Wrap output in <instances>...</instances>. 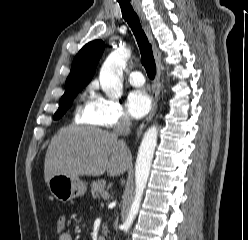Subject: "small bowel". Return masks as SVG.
I'll use <instances>...</instances> for the list:
<instances>
[{
  "label": "small bowel",
  "mask_w": 248,
  "mask_h": 240,
  "mask_svg": "<svg viewBox=\"0 0 248 240\" xmlns=\"http://www.w3.org/2000/svg\"><path fill=\"white\" fill-rule=\"evenodd\" d=\"M58 240H73L71 233L65 231L59 235Z\"/></svg>",
  "instance_id": "small-bowel-1"
}]
</instances>
